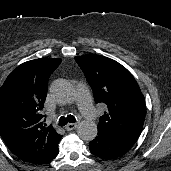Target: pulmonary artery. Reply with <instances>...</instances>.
<instances>
[{"label": "pulmonary artery", "instance_id": "e3ab8cb5", "mask_svg": "<svg viewBox=\"0 0 171 171\" xmlns=\"http://www.w3.org/2000/svg\"><path fill=\"white\" fill-rule=\"evenodd\" d=\"M75 99L81 113L88 121H93L98 117V111L93 106L88 90L85 87L80 85L77 87Z\"/></svg>", "mask_w": 171, "mask_h": 171}]
</instances>
